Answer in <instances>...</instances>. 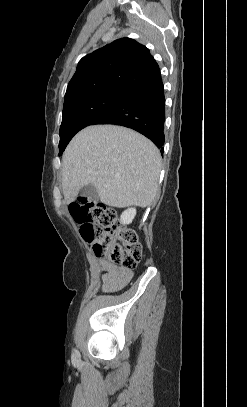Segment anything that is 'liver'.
I'll return each mask as SVG.
<instances>
[{
  "instance_id": "1",
  "label": "liver",
  "mask_w": 247,
  "mask_h": 407,
  "mask_svg": "<svg viewBox=\"0 0 247 407\" xmlns=\"http://www.w3.org/2000/svg\"><path fill=\"white\" fill-rule=\"evenodd\" d=\"M161 155L146 137L115 125L86 127L75 135L62 159L67 203L92 184L101 202L113 207H147L158 190Z\"/></svg>"
}]
</instances>
